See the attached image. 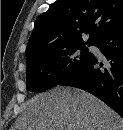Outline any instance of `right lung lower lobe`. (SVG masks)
<instances>
[{"label": "right lung lower lobe", "instance_id": "1", "mask_svg": "<svg viewBox=\"0 0 123 130\" xmlns=\"http://www.w3.org/2000/svg\"><path fill=\"white\" fill-rule=\"evenodd\" d=\"M93 45L106 61L100 62L91 53L85 63L59 85L85 90L123 117V26L104 34Z\"/></svg>", "mask_w": 123, "mask_h": 130}]
</instances>
